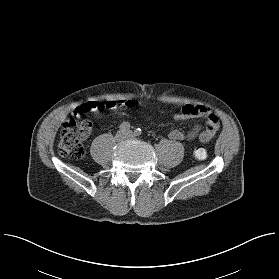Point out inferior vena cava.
<instances>
[{"instance_id":"1","label":"inferior vena cava","mask_w":279,"mask_h":279,"mask_svg":"<svg viewBox=\"0 0 279 279\" xmlns=\"http://www.w3.org/2000/svg\"><path fill=\"white\" fill-rule=\"evenodd\" d=\"M133 137L132 133L131 132H128L126 135H125V138L126 139H131Z\"/></svg>"}]
</instances>
